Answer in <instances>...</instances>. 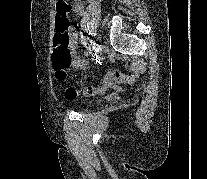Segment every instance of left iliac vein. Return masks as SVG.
I'll return each instance as SVG.
<instances>
[{"instance_id": "left-iliac-vein-1", "label": "left iliac vein", "mask_w": 207, "mask_h": 179, "mask_svg": "<svg viewBox=\"0 0 207 179\" xmlns=\"http://www.w3.org/2000/svg\"><path fill=\"white\" fill-rule=\"evenodd\" d=\"M103 45H104V42L100 41L99 42V50L96 51V53H95L96 61H99V59H101L103 57V54H102L103 49H104Z\"/></svg>"}]
</instances>
